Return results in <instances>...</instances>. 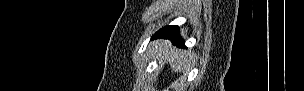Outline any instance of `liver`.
<instances>
[{
    "mask_svg": "<svg viewBox=\"0 0 304 91\" xmlns=\"http://www.w3.org/2000/svg\"><path fill=\"white\" fill-rule=\"evenodd\" d=\"M155 44L160 50L159 58L163 62L170 63L172 72L176 73L187 62L185 54L176 48H172L169 41H157Z\"/></svg>",
    "mask_w": 304,
    "mask_h": 91,
    "instance_id": "liver-1",
    "label": "liver"
}]
</instances>
